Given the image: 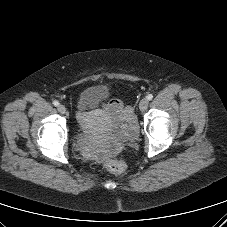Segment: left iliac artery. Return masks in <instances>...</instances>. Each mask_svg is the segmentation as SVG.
<instances>
[{
	"label": "left iliac artery",
	"instance_id": "left-iliac-artery-1",
	"mask_svg": "<svg viewBox=\"0 0 227 227\" xmlns=\"http://www.w3.org/2000/svg\"><path fill=\"white\" fill-rule=\"evenodd\" d=\"M147 99L150 101V100H152L153 99V95L152 94H149L148 96H147Z\"/></svg>",
	"mask_w": 227,
	"mask_h": 227
}]
</instances>
